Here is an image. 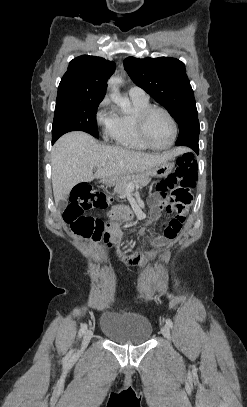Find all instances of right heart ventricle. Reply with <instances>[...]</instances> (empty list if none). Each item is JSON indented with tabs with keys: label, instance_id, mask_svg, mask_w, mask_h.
<instances>
[{
	"label": "right heart ventricle",
	"instance_id": "obj_1",
	"mask_svg": "<svg viewBox=\"0 0 247 407\" xmlns=\"http://www.w3.org/2000/svg\"><path fill=\"white\" fill-rule=\"evenodd\" d=\"M150 106L148 99L131 98L129 109H119L112 113V122L107 135L116 145L134 151H146L148 147L140 140L136 130V117L140 111Z\"/></svg>",
	"mask_w": 247,
	"mask_h": 407
}]
</instances>
